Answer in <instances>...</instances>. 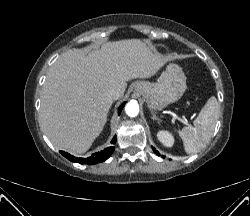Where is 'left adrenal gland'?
Segmentation results:
<instances>
[{
	"instance_id": "1",
	"label": "left adrenal gland",
	"mask_w": 250,
	"mask_h": 216,
	"mask_svg": "<svg viewBox=\"0 0 250 216\" xmlns=\"http://www.w3.org/2000/svg\"><path fill=\"white\" fill-rule=\"evenodd\" d=\"M152 119L156 120L157 122L161 121L154 112H152Z\"/></svg>"
}]
</instances>
